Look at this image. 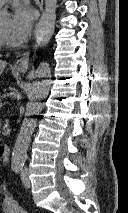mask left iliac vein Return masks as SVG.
Masks as SVG:
<instances>
[{"mask_svg":"<svg viewBox=\"0 0 128 213\" xmlns=\"http://www.w3.org/2000/svg\"><path fill=\"white\" fill-rule=\"evenodd\" d=\"M21 179H22V183L25 186V188H30L31 182L28 177V171L26 168L21 171Z\"/></svg>","mask_w":128,"mask_h":213,"instance_id":"1","label":"left iliac vein"}]
</instances>
